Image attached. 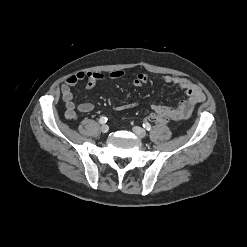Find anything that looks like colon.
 <instances>
[{
	"label": "colon",
	"mask_w": 247,
	"mask_h": 247,
	"mask_svg": "<svg viewBox=\"0 0 247 247\" xmlns=\"http://www.w3.org/2000/svg\"><path fill=\"white\" fill-rule=\"evenodd\" d=\"M149 119L157 124L166 125L169 119L161 114L152 113L149 115Z\"/></svg>",
	"instance_id": "5ec220e1"
}]
</instances>
